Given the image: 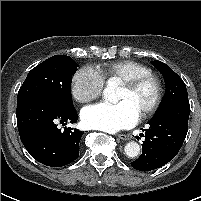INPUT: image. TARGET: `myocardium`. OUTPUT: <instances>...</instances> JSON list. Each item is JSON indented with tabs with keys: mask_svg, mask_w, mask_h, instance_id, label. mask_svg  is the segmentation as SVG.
Returning a JSON list of instances; mask_svg holds the SVG:
<instances>
[{
	"mask_svg": "<svg viewBox=\"0 0 201 201\" xmlns=\"http://www.w3.org/2000/svg\"><path fill=\"white\" fill-rule=\"evenodd\" d=\"M146 82H151L153 84L155 89V96L152 103L144 111L140 113L139 118L141 119H145L151 116L160 107L164 92L162 80L157 75L148 73L127 79L122 82V85L130 90H136Z\"/></svg>",
	"mask_w": 201,
	"mask_h": 201,
	"instance_id": "myocardium-1",
	"label": "myocardium"
}]
</instances>
